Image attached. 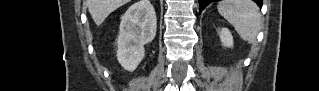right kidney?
Returning <instances> with one entry per match:
<instances>
[{"mask_svg": "<svg viewBox=\"0 0 319 91\" xmlns=\"http://www.w3.org/2000/svg\"><path fill=\"white\" fill-rule=\"evenodd\" d=\"M157 19L149 0H139L121 18L117 39V59L128 71H134L145 56L144 45L156 34Z\"/></svg>", "mask_w": 319, "mask_h": 91, "instance_id": "right-kidney-1", "label": "right kidney"}]
</instances>
